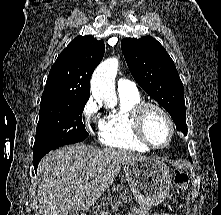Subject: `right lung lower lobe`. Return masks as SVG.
<instances>
[{"label": "right lung lower lobe", "mask_w": 221, "mask_h": 215, "mask_svg": "<svg viewBox=\"0 0 221 215\" xmlns=\"http://www.w3.org/2000/svg\"><path fill=\"white\" fill-rule=\"evenodd\" d=\"M45 154H46V153H45ZM45 154H41V155H38V156L33 157V161H34L33 164H34V169H35V170L37 169L38 164H39L41 158H42Z\"/></svg>", "instance_id": "98d812e1"}]
</instances>
